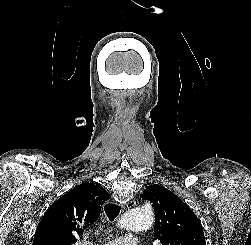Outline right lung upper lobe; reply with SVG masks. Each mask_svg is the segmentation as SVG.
Returning a JSON list of instances; mask_svg holds the SVG:
<instances>
[{"instance_id":"obj_1","label":"right lung upper lobe","mask_w":251,"mask_h":245,"mask_svg":"<svg viewBox=\"0 0 251 245\" xmlns=\"http://www.w3.org/2000/svg\"><path fill=\"white\" fill-rule=\"evenodd\" d=\"M110 198L102 186L82 183L64 194L45 212L32 245H71L95 223Z\"/></svg>"}]
</instances>
